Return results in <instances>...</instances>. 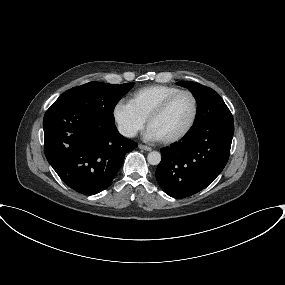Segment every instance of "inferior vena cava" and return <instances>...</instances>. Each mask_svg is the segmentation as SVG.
<instances>
[{"instance_id":"1","label":"inferior vena cava","mask_w":285,"mask_h":285,"mask_svg":"<svg viewBox=\"0 0 285 285\" xmlns=\"http://www.w3.org/2000/svg\"><path fill=\"white\" fill-rule=\"evenodd\" d=\"M119 132L125 137H134L136 135L135 130L131 128L120 127Z\"/></svg>"}]
</instances>
